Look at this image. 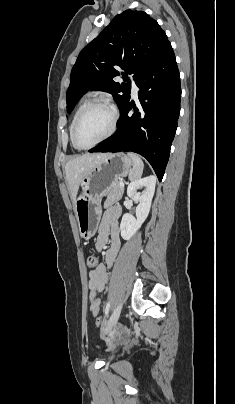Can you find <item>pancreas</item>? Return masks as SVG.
Segmentation results:
<instances>
[{
    "instance_id": "obj_1",
    "label": "pancreas",
    "mask_w": 235,
    "mask_h": 404,
    "mask_svg": "<svg viewBox=\"0 0 235 404\" xmlns=\"http://www.w3.org/2000/svg\"><path fill=\"white\" fill-rule=\"evenodd\" d=\"M123 193L124 188L120 187L119 181H114L107 191V199L105 205L107 206L111 203L120 200L122 198Z\"/></svg>"
}]
</instances>
